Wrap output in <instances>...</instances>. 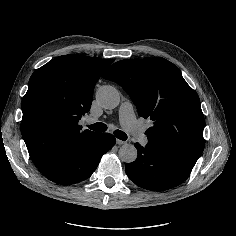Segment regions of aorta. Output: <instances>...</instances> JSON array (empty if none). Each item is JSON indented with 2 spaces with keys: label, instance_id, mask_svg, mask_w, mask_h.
<instances>
[{
  "label": "aorta",
  "instance_id": "1",
  "mask_svg": "<svg viewBox=\"0 0 236 236\" xmlns=\"http://www.w3.org/2000/svg\"><path fill=\"white\" fill-rule=\"evenodd\" d=\"M96 100L104 109H114L119 105L120 95L115 87L105 85L98 89ZM118 154L120 160L125 163L135 161L138 155L135 146L127 143L120 147Z\"/></svg>",
  "mask_w": 236,
  "mask_h": 236
}]
</instances>
